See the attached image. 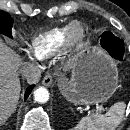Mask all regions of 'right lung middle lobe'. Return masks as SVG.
Instances as JSON below:
<instances>
[{"mask_svg": "<svg viewBox=\"0 0 130 130\" xmlns=\"http://www.w3.org/2000/svg\"><path fill=\"white\" fill-rule=\"evenodd\" d=\"M12 25L13 19L11 18V16L8 13L0 10V34L12 38Z\"/></svg>", "mask_w": 130, "mask_h": 130, "instance_id": "1", "label": "right lung middle lobe"}]
</instances>
